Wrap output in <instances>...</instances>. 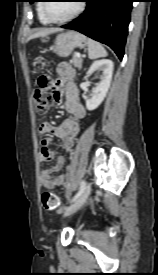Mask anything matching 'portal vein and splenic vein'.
I'll use <instances>...</instances> for the list:
<instances>
[{
	"label": "portal vein and splenic vein",
	"instance_id": "obj_1",
	"mask_svg": "<svg viewBox=\"0 0 158 275\" xmlns=\"http://www.w3.org/2000/svg\"><path fill=\"white\" fill-rule=\"evenodd\" d=\"M76 56H77V57H81L80 53H76Z\"/></svg>",
	"mask_w": 158,
	"mask_h": 275
}]
</instances>
